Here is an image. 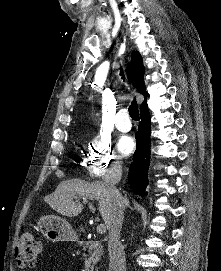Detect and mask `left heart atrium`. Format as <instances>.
Masks as SVG:
<instances>
[{
	"mask_svg": "<svg viewBox=\"0 0 221 271\" xmlns=\"http://www.w3.org/2000/svg\"><path fill=\"white\" fill-rule=\"evenodd\" d=\"M173 97L175 96V92H171ZM171 109V108H170ZM135 145V140L130 135L121 136L118 141V149L120 152L129 154L133 151Z\"/></svg>",
	"mask_w": 221,
	"mask_h": 271,
	"instance_id": "obj_1",
	"label": "left heart atrium"
}]
</instances>
